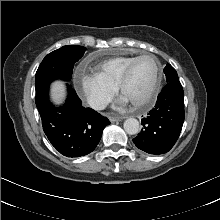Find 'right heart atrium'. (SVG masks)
I'll return each instance as SVG.
<instances>
[{
	"label": "right heart atrium",
	"instance_id": "obj_1",
	"mask_svg": "<svg viewBox=\"0 0 220 220\" xmlns=\"http://www.w3.org/2000/svg\"><path fill=\"white\" fill-rule=\"evenodd\" d=\"M74 81L79 95L95 110L104 109L116 93V87L96 74H77Z\"/></svg>",
	"mask_w": 220,
	"mask_h": 220
}]
</instances>
